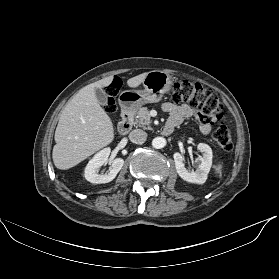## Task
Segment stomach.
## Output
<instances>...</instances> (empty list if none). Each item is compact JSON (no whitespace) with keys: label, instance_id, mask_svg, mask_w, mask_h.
I'll use <instances>...</instances> for the list:
<instances>
[{"label":"stomach","instance_id":"1","mask_svg":"<svg viewBox=\"0 0 279 279\" xmlns=\"http://www.w3.org/2000/svg\"><path fill=\"white\" fill-rule=\"evenodd\" d=\"M143 90H126L119 96L121 109L128 113L136 112L146 103L159 102L172 87V78L164 71L148 72L143 81Z\"/></svg>","mask_w":279,"mask_h":279}]
</instances>
